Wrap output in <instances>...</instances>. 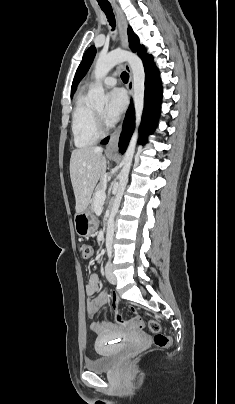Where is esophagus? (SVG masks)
<instances>
[{
	"label": "esophagus",
	"instance_id": "obj_1",
	"mask_svg": "<svg viewBox=\"0 0 235 404\" xmlns=\"http://www.w3.org/2000/svg\"><path fill=\"white\" fill-rule=\"evenodd\" d=\"M113 6L116 11L117 18H118L120 44L124 49H127L128 48L127 21H126L125 15L123 14L122 10L118 7V5L114 4ZM124 68L129 73V81L127 84V89H128L129 95H131L132 90H133V78H132L131 68L128 63H124ZM122 128H123V124L121 123L116 128V130L112 133L109 143L105 150L106 154H114L116 152L118 143H119L120 134L122 132Z\"/></svg>",
	"mask_w": 235,
	"mask_h": 404
}]
</instances>
